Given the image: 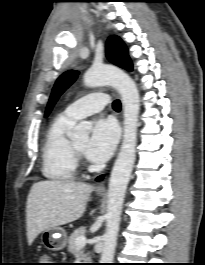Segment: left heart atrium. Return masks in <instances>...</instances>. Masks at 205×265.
<instances>
[{
  "mask_svg": "<svg viewBox=\"0 0 205 265\" xmlns=\"http://www.w3.org/2000/svg\"><path fill=\"white\" fill-rule=\"evenodd\" d=\"M118 138L119 131L113 120L100 119L96 121L84 149L86 157L97 163L106 161L112 155Z\"/></svg>",
  "mask_w": 205,
  "mask_h": 265,
  "instance_id": "1",
  "label": "left heart atrium"
}]
</instances>
